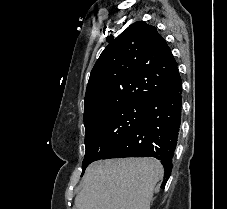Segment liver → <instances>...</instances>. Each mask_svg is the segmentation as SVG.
Listing matches in <instances>:
<instances>
[{
    "label": "liver",
    "instance_id": "1",
    "mask_svg": "<svg viewBox=\"0 0 227 209\" xmlns=\"http://www.w3.org/2000/svg\"><path fill=\"white\" fill-rule=\"evenodd\" d=\"M163 169L157 159H107L89 165L76 209H150Z\"/></svg>",
    "mask_w": 227,
    "mask_h": 209
}]
</instances>
